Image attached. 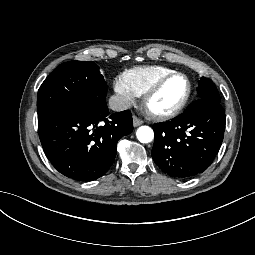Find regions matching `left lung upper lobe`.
Instances as JSON below:
<instances>
[{
  "instance_id": "left-lung-upper-lobe-1",
  "label": "left lung upper lobe",
  "mask_w": 255,
  "mask_h": 255,
  "mask_svg": "<svg viewBox=\"0 0 255 255\" xmlns=\"http://www.w3.org/2000/svg\"><path fill=\"white\" fill-rule=\"evenodd\" d=\"M199 87L197 88L199 99H210L220 103V96L215 84L206 77H201L198 81Z\"/></svg>"
}]
</instances>
